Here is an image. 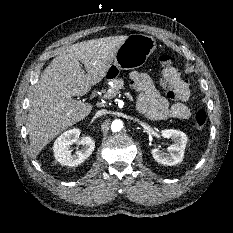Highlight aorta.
Segmentation results:
<instances>
[{"instance_id":"aorta-1","label":"aorta","mask_w":233,"mask_h":233,"mask_svg":"<svg viewBox=\"0 0 233 233\" xmlns=\"http://www.w3.org/2000/svg\"><path fill=\"white\" fill-rule=\"evenodd\" d=\"M123 128V122L119 119H116L111 124V130L113 132H119Z\"/></svg>"}]
</instances>
